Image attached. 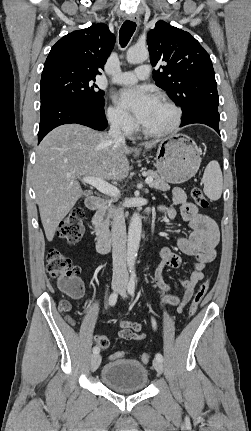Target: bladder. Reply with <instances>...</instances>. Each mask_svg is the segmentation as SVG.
Returning a JSON list of instances; mask_svg holds the SVG:
<instances>
[{"mask_svg": "<svg viewBox=\"0 0 251 431\" xmlns=\"http://www.w3.org/2000/svg\"><path fill=\"white\" fill-rule=\"evenodd\" d=\"M147 368L133 359L113 360L101 370L100 379L115 392L134 393L143 390L148 383Z\"/></svg>", "mask_w": 251, "mask_h": 431, "instance_id": "1", "label": "bladder"}]
</instances>
